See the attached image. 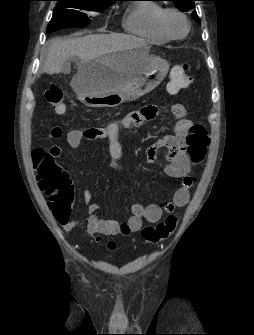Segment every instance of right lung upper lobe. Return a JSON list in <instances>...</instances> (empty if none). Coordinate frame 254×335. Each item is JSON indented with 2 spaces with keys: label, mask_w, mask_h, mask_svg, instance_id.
<instances>
[{
  "label": "right lung upper lobe",
  "mask_w": 254,
  "mask_h": 335,
  "mask_svg": "<svg viewBox=\"0 0 254 335\" xmlns=\"http://www.w3.org/2000/svg\"><path fill=\"white\" fill-rule=\"evenodd\" d=\"M97 1H102V2H115V1H119V0H97Z\"/></svg>",
  "instance_id": "cb5924a9"
}]
</instances>
